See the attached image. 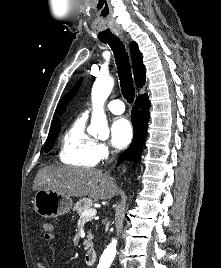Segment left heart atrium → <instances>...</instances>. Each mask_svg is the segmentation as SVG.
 <instances>
[{"mask_svg": "<svg viewBox=\"0 0 221 268\" xmlns=\"http://www.w3.org/2000/svg\"><path fill=\"white\" fill-rule=\"evenodd\" d=\"M133 131L130 122L120 117L111 124V144L117 149L126 147L132 140Z\"/></svg>", "mask_w": 221, "mask_h": 268, "instance_id": "39dd6f15", "label": "left heart atrium"}]
</instances>
